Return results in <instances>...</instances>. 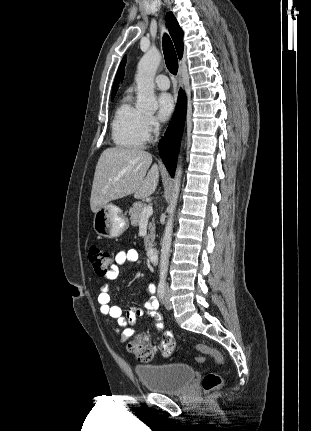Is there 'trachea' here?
Returning a JSON list of instances; mask_svg holds the SVG:
<instances>
[{
	"mask_svg": "<svg viewBox=\"0 0 311 431\" xmlns=\"http://www.w3.org/2000/svg\"><path fill=\"white\" fill-rule=\"evenodd\" d=\"M163 53L165 57L166 67L168 68L170 73L176 75L178 71V58L175 52L174 45L167 34L163 36Z\"/></svg>",
	"mask_w": 311,
	"mask_h": 431,
	"instance_id": "trachea-1",
	"label": "trachea"
}]
</instances>
